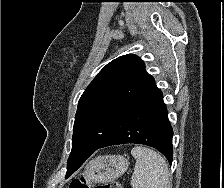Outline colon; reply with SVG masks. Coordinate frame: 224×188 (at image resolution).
<instances>
[{"instance_id": "1", "label": "colon", "mask_w": 224, "mask_h": 188, "mask_svg": "<svg viewBox=\"0 0 224 188\" xmlns=\"http://www.w3.org/2000/svg\"><path fill=\"white\" fill-rule=\"evenodd\" d=\"M69 188H123L118 182H104L97 185L90 184L86 178L74 179L71 181Z\"/></svg>"}]
</instances>
